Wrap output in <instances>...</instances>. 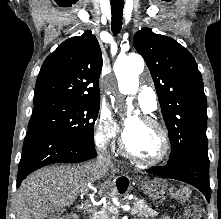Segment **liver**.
Listing matches in <instances>:
<instances>
[{"instance_id": "1", "label": "liver", "mask_w": 221, "mask_h": 219, "mask_svg": "<svg viewBox=\"0 0 221 219\" xmlns=\"http://www.w3.org/2000/svg\"><path fill=\"white\" fill-rule=\"evenodd\" d=\"M108 169L96 162H87L77 166H50L34 172L17 192V219H45L51 210L72 205L78 195L88 192ZM103 190L101 187L98 194Z\"/></svg>"}]
</instances>
